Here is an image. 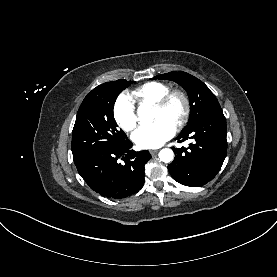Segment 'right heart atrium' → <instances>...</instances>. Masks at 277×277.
Listing matches in <instances>:
<instances>
[{"mask_svg":"<svg viewBox=\"0 0 277 277\" xmlns=\"http://www.w3.org/2000/svg\"><path fill=\"white\" fill-rule=\"evenodd\" d=\"M113 116L116 123L125 131H131L137 123L135 105L131 97L120 94L113 106Z\"/></svg>","mask_w":277,"mask_h":277,"instance_id":"d8ad5b80","label":"right heart atrium"}]
</instances>
